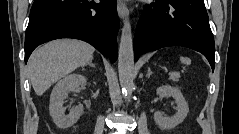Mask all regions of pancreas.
Listing matches in <instances>:
<instances>
[{"mask_svg": "<svg viewBox=\"0 0 239 134\" xmlns=\"http://www.w3.org/2000/svg\"><path fill=\"white\" fill-rule=\"evenodd\" d=\"M179 78H180V75L178 73H173L172 75H170V79L173 81V82H178L179 81Z\"/></svg>", "mask_w": 239, "mask_h": 134, "instance_id": "1", "label": "pancreas"}]
</instances>
